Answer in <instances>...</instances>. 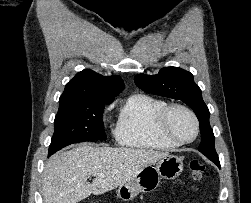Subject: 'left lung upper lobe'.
Returning a JSON list of instances; mask_svg holds the SVG:
<instances>
[{"label":"left lung upper lobe","instance_id":"5c2ea615","mask_svg":"<svg viewBox=\"0 0 251 203\" xmlns=\"http://www.w3.org/2000/svg\"><path fill=\"white\" fill-rule=\"evenodd\" d=\"M134 81L145 92L186 103L195 112L200 123L199 151L218 165L216 163H219V159L215 150V137L209 123L210 112L202 99L201 89L194 82L193 75L181 68L165 67L156 75L138 74L134 77Z\"/></svg>","mask_w":251,"mask_h":203}]
</instances>
